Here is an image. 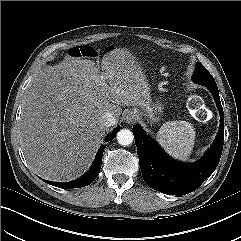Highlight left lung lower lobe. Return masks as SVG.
<instances>
[{"instance_id": "obj_1", "label": "left lung lower lobe", "mask_w": 241, "mask_h": 241, "mask_svg": "<svg viewBox=\"0 0 241 241\" xmlns=\"http://www.w3.org/2000/svg\"><path fill=\"white\" fill-rule=\"evenodd\" d=\"M206 87L219 109L220 127L213 145L201 160L191 164L175 161L139 125L133 127L142 177L152 189L169 195H185L196 190L216 169L223 150L224 113L217 86Z\"/></svg>"}]
</instances>
